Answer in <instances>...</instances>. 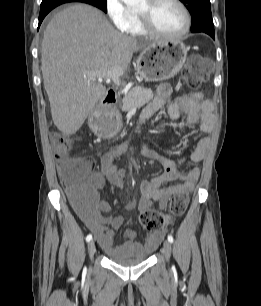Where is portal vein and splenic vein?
Here are the masks:
<instances>
[{"mask_svg": "<svg viewBox=\"0 0 261 306\" xmlns=\"http://www.w3.org/2000/svg\"><path fill=\"white\" fill-rule=\"evenodd\" d=\"M124 71L120 68H114L108 71L103 72H94L92 75L98 78L99 82H102L103 79H110L114 84L120 85V76H122Z\"/></svg>", "mask_w": 261, "mask_h": 306, "instance_id": "obj_1", "label": "portal vein and splenic vein"}]
</instances>
